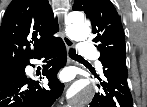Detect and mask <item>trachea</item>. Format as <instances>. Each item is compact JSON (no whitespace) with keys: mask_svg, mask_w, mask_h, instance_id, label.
Wrapping results in <instances>:
<instances>
[{"mask_svg":"<svg viewBox=\"0 0 147 107\" xmlns=\"http://www.w3.org/2000/svg\"><path fill=\"white\" fill-rule=\"evenodd\" d=\"M69 56H70L71 58H73V59H83L82 56L76 54L75 51H73V50H71V51L69 52Z\"/></svg>","mask_w":147,"mask_h":107,"instance_id":"3493384b","label":"trachea"}]
</instances>
